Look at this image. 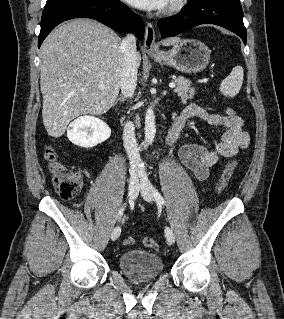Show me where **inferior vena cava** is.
Returning <instances> with one entry per match:
<instances>
[{"instance_id":"inferior-vena-cava-1","label":"inferior vena cava","mask_w":284,"mask_h":319,"mask_svg":"<svg viewBox=\"0 0 284 319\" xmlns=\"http://www.w3.org/2000/svg\"><path fill=\"white\" fill-rule=\"evenodd\" d=\"M121 49L123 51V62L120 88L125 98H131L137 85L136 37L133 34H128L121 43ZM123 143L131 169L136 172L137 164L140 161V154L132 122L126 123L124 127Z\"/></svg>"}]
</instances>
